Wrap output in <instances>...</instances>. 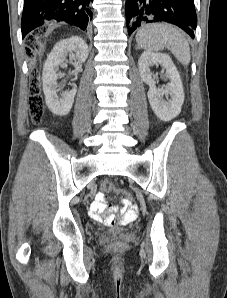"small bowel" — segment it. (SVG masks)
<instances>
[{
  "label": "small bowel",
  "mask_w": 227,
  "mask_h": 298,
  "mask_svg": "<svg viewBox=\"0 0 227 298\" xmlns=\"http://www.w3.org/2000/svg\"><path fill=\"white\" fill-rule=\"evenodd\" d=\"M108 208V197L105 191L97 193L95 200L92 202L90 206V214L96 220H101L103 218L104 213ZM125 214L123 217V222L131 221L136 214V207H123Z\"/></svg>",
  "instance_id": "1"
}]
</instances>
